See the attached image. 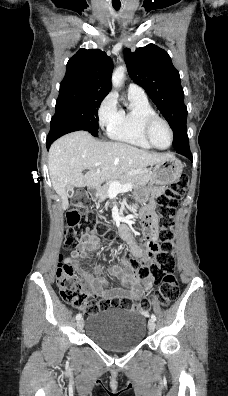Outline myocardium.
I'll use <instances>...</instances> for the list:
<instances>
[{
    "label": "myocardium",
    "mask_w": 228,
    "mask_h": 396,
    "mask_svg": "<svg viewBox=\"0 0 228 396\" xmlns=\"http://www.w3.org/2000/svg\"><path fill=\"white\" fill-rule=\"evenodd\" d=\"M158 121L162 122L167 127V129L169 131V134H170V143H169V145L167 147H164V148L158 147L153 142L152 137H151L152 127ZM142 131H143L144 138L152 146V148H155V149H158V150H166V149L170 148V146L173 143L174 133H173L171 125L169 124V122L165 118H163V117H161V116H159L157 114L150 115V116H147V117L144 118L143 125H142Z\"/></svg>",
    "instance_id": "obj_1"
}]
</instances>
